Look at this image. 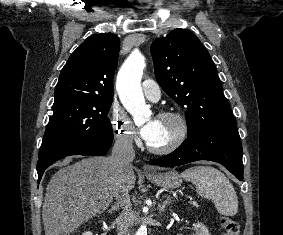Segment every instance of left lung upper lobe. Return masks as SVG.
I'll use <instances>...</instances> for the list:
<instances>
[{
    "instance_id": "1",
    "label": "left lung upper lobe",
    "mask_w": 283,
    "mask_h": 235,
    "mask_svg": "<svg viewBox=\"0 0 283 235\" xmlns=\"http://www.w3.org/2000/svg\"><path fill=\"white\" fill-rule=\"evenodd\" d=\"M162 89L186 109L188 136L236 126L213 60L190 31L175 29L151 45Z\"/></svg>"
}]
</instances>
